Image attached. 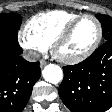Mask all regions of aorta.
<instances>
[{"label":"aorta","mask_w":112,"mask_h":112,"mask_svg":"<svg viewBox=\"0 0 112 112\" xmlns=\"http://www.w3.org/2000/svg\"><path fill=\"white\" fill-rule=\"evenodd\" d=\"M42 75L47 82L52 84H58L63 79V71L56 64H48L45 66Z\"/></svg>","instance_id":"762f6f07"}]
</instances>
